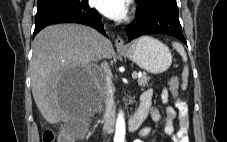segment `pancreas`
Instances as JSON below:
<instances>
[{
	"label": "pancreas",
	"mask_w": 227,
	"mask_h": 142,
	"mask_svg": "<svg viewBox=\"0 0 227 142\" xmlns=\"http://www.w3.org/2000/svg\"><path fill=\"white\" fill-rule=\"evenodd\" d=\"M150 78L146 74H142L138 77V85L141 87L148 86Z\"/></svg>",
	"instance_id": "cf45deb5"
}]
</instances>
